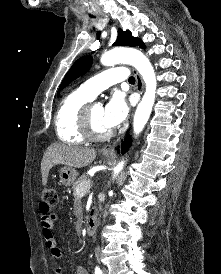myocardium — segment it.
<instances>
[{"instance_id":"1","label":"myocardium","mask_w":221,"mask_h":274,"mask_svg":"<svg viewBox=\"0 0 221 274\" xmlns=\"http://www.w3.org/2000/svg\"><path fill=\"white\" fill-rule=\"evenodd\" d=\"M93 105L94 103H88L84 106L80 116V127L86 139L103 141L111 136V132H100L94 127L91 117V109Z\"/></svg>"}]
</instances>
